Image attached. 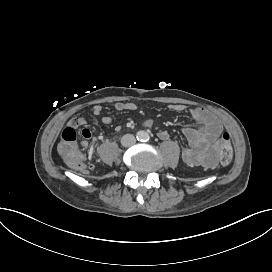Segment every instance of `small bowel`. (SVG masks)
<instances>
[{"label":"small bowel","instance_id":"obj_1","mask_svg":"<svg viewBox=\"0 0 272 272\" xmlns=\"http://www.w3.org/2000/svg\"><path fill=\"white\" fill-rule=\"evenodd\" d=\"M114 109L117 112L123 111H134L137 106L133 102H116L114 104ZM170 109L176 112H183L186 110V106L176 104L171 105ZM103 108L101 105L96 104L92 107V114L94 116H100L102 114ZM194 125L186 127L183 129V134L187 139L188 145L183 146L181 149V157L183 161L191 166L206 165L205 155L207 150L210 148L212 141L221 133L222 125L220 120L210 111L203 108H191L189 110ZM113 122V118L109 115L102 117V123L105 125H110ZM87 124V119L84 116H78L71 119L67 126L73 128H78L85 126ZM152 122L150 120L145 121L146 126H150ZM120 130V127L116 128ZM82 138V146L84 148L88 147V140L92 137V131L84 127L80 132ZM169 132L162 130L158 133V137L162 140H167L169 138Z\"/></svg>","mask_w":272,"mask_h":272}]
</instances>
